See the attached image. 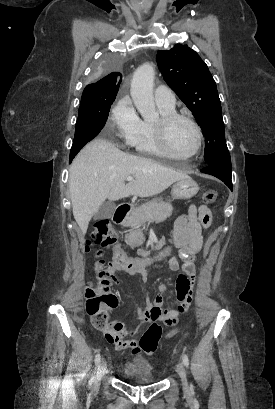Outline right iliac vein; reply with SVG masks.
<instances>
[{
    "instance_id": "right-iliac-vein-1",
    "label": "right iliac vein",
    "mask_w": 275,
    "mask_h": 409,
    "mask_svg": "<svg viewBox=\"0 0 275 409\" xmlns=\"http://www.w3.org/2000/svg\"><path fill=\"white\" fill-rule=\"evenodd\" d=\"M105 370H106V361L103 360L98 367V372L93 382V385L95 388H98L101 385V380L104 376Z\"/></svg>"
}]
</instances>
